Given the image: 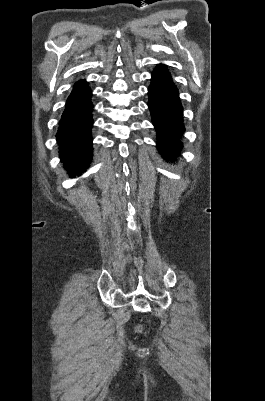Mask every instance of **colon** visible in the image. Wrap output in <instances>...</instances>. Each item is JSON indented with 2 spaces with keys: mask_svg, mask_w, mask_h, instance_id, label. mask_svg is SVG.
Here are the masks:
<instances>
[{
  "mask_svg": "<svg viewBox=\"0 0 265 401\" xmlns=\"http://www.w3.org/2000/svg\"><path fill=\"white\" fill-rule=\"evenodd\" d=\"M136 330H137V331H141V327H140V326H137Z\"/></svg>",
  "mask_w": 265,
  "mask_h": 401,
  "instance_id": "obj_1",
  "label": "colon"
}]
</instances>
